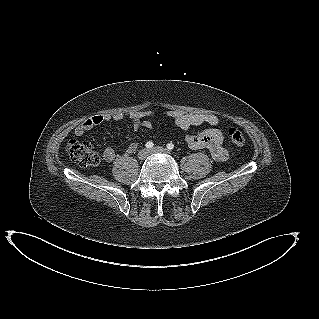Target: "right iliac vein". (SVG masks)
Masks as SVG:
<instances>
[{
	"label": "right iliac vein",
	"mask_w": 319,
	"mask_h": 319,
	"mask_svg": "<svg viewBox=\"0 0 319 319\" xmlns=\"http://www.w3.org/2000/svg\"><path fill=\"white\" fill-rule=\"evenodd\" d=\"M148 154H149V150L148 149H142L138 153V158L140 160H144L148 156Z\"/></svg>",
	"instance_id": "obj_1"
}]
</instances>
